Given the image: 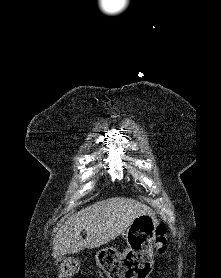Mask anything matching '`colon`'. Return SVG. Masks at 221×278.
Instances as JSON below:
<instances>
[{"instance_id": "1", "label": "colon", "mask_w": 221, "mask_h": 278, "mask_svg": "<svg viewBox=\"0 0 221 278\" xmlns=\"http://www.w3.org/2000/svg\"><path fill=\"white\" fill-rule=\"evenodd\" d=\"M154 246L160 254H165L168 246L167 228L160 224L156 228V237ZM81 271L80 264L71 258L65 259L58 267L59 278H73ZM78 278H87L86 276H79Z\"/></svg>"}]
</instances>
